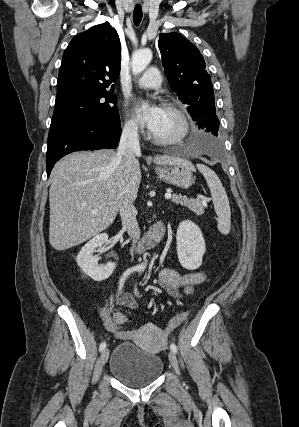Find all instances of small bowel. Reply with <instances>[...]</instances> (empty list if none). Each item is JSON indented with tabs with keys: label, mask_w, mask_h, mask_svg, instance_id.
<instances>
[{
	"label": "small bowel",
	"mask_w": 299,
	"mask_h": 427,
	"mask_svg": "<svg viewBox=\"0 0 299 427\" xmlns=\"http://www.w3.org/2000/svg\"><path fill=\"white\" fill-rule=\"evenodd\" d=\"M203 272L183 273L176 270L162 268L158 275L160 286L165 289L170 295L178 297L181 292L190 293L193 288L205 280ZM116 304L124 306L129 309L138 307L137 302L130 293H122L116 300ZM112 313L111 307H106L101 311V316L105 327L118 338H128L131 333L128 331H120L114 323V316L117 314Z\"/></svg>",
	"instance_id": "obj_1"
}]
</instances>
